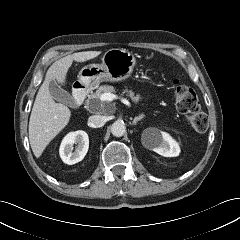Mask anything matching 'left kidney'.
Here are the masks:
<instances>
[{"label":"left kidney","mask_w":240,"mask_h":240,"mask_svg":"<svg viewBox=\"0 0 240 240\" xmlns=\"http://www.w3.org/2000/svg\"><path fill=\"white\" fill-rule=\"evenodd\" d=\"M142 141L146 148L165 157H176L180 153L178 143L168 133L156 128L144 130Z\"/></svg>","instance_id":"obj_1"}]
</instances>
